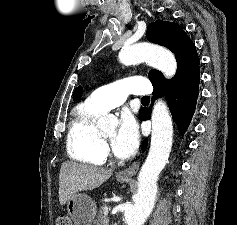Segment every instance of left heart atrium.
Listing matches in <instances>:
<instances>
[{"label":"left heart atrium","instance_id":"left-heart-atrium-1","mask_svg":"<svg viewBox=\"0 0 237 225\" xmlns=\"http://www.w3.org/2000/svg\"><path fill=\"white\" fill-rule=\"evenodd\" d=\"M139 144L138 124L134 116L124 112L120 118V124L112 141L114 153L121 158H127L134 154Z\"/></svg>","mask_w":237,"mask_h":225}]
</instances>
